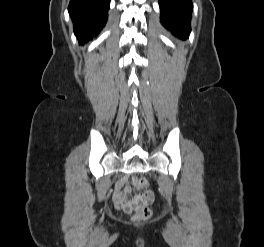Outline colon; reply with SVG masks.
I'll return each mask as SVG.
<instances>
[{
    "instance_id": "1",
    "label": "colon",
    "mask_w": 264,
    "mask_h": 247,
    "mask_svg": "<svg viewBox=\"0 0 264 247\" xmlns=\"http://www.w3.org/2000/svg\"><path fill=\"white\" fill-rule=\"evenodd\" d=\"M130 184L137 191H145L149 187L148 180L144 177H132ZM153 194L146 192L144 197L139 195H128L119 200V207L125 212H133L136 220L145 221L150 218L151 210L147 203L153 201Z\"/></svg>"
}]
</instances>
